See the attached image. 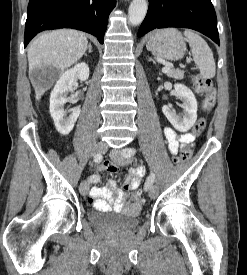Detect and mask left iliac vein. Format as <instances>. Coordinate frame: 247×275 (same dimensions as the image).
<instances>
[{
    "mask_svg": "<svg viewBox=\"0 0 247 275\" xmlns=\"http://www.w3.org/2000/svg\"><path fill=\"white\" fill-rule=\"evenodd\" d=\"M131 148H123L121 151L119 150H113L110 153L111 159L119 164V165H127L129 163V159L127 157H124V153L129 151ZM157 188L156 186H152L149 190V196L150 198H155L157 196Z\"/></svg>",
    "mask_w": 247,
    "mask_h": 275,
    "instance_id": "left-iliac-vein-1",
    "label": "left iliac vein"
}]
</instances>
